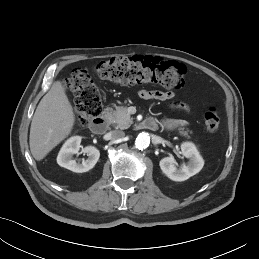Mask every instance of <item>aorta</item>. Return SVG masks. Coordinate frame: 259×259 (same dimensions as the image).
<instances>
[{"label": "aorta", "instance_id": "762f6f07", "mask_svg": "<svg viewBox=\"0 0 259 259\" xmlns=\"http://www.w3.org/2000/svg\"><path fill=\"white\" fill-rule=\"evenodd\" d=\"M150 144V137L147 133L142 132L140 133L135 141L136 148L138 149H145Z\"/></svg>", "mask_w": 259, "mask_h": 259}]
</instances>
